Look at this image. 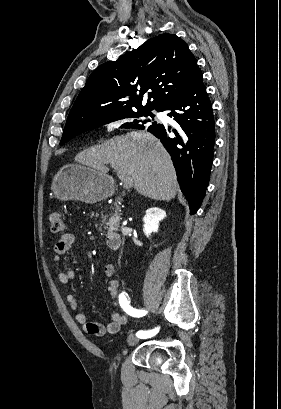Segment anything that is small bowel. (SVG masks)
Segmentation results:
<instances>
[{
    "label": "small bowel",
    "instance_id": "obj_1",
    "mask_svg": "<svg viewBox=\"0 0 281 409\" xmlns=\"http://www.w3.org/2000/svg\"><path fill=\"white\" fill-rule=\"evenodd\" d=\"M75 236L72 233H64L56 242L54 246V261L60 266L61 256L65 254L71 246L74 244ZM115 274V266L111 263L106 264L104 267V287L103 293L109 294L115 306H120L119 291L120 282L113 276ZM75 277V271L59 270L58 280L62 285H68ZM66 303L75 312L76 322L82 327L83 331L89 335L102 337L106 334H116L120 331L121 327L126 323V318L115 312L109 313L110 322L107 325H102L97 322H91L88 320L86 314L79 312V303L76 296L72 293L66 295Z\"/></svg>",
    "mask_w": 281,
    "mask_h": 409
}]
</instances>
